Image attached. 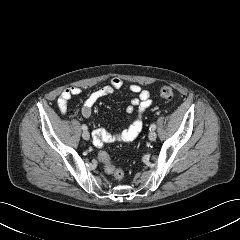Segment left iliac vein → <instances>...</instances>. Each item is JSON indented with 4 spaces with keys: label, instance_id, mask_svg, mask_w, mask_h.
Segmentation results:
<instances>
[{
    "label": "left iliac vein",
    "instance_id": "obj_1",
    "mask_svg": "<svg viewBox=\"0 0 240 240\" xmlns=\"http://www.w3.org/2000/svg\"><path fill=\"white\" fill-rule=\"evenodd\" d=\"M148 138H149L150 141H155L156 138H157L156 132L151 131V132L149 133V135H148Z\"/></svg>",
    "mask_w": 240,
    "mask_h": 240
}]
</instances>
